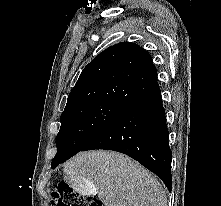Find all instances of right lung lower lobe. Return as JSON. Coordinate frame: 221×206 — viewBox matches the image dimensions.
Listing matches in <instances>:
<instances>
[{"mask_svg":"<svg viewBox=\"0 0 221 206\" xmlns=\"http://www.w3.org/2000/svg\"><path fill=\"white\" fill-rule=\"evenodd\" d=\"M161 91L146 92L97 134L81 151L107 149L124 153L155 173L172 189V151Z\"/></svg>","mask_w":221,"mask_h":206,"instance_id":"1","label":"right lung lower lobe"}]
</instances>
